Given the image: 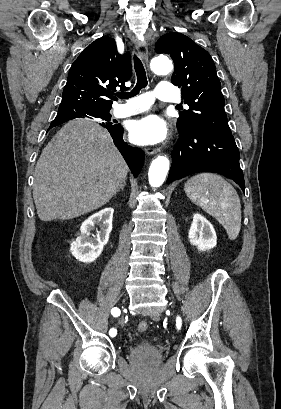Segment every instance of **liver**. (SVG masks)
Segmentation results:
<instances>
[{
    "label": "liver",
    "instance_id": "liver-1",
    "mask_svg": "<svg viewBox=\"0 0 281 409\" xmlns=\"http://www.w3.org/2000/svg\"><path fill=\"white\" fill-rule=\"evenodd\" d=\"M128 170L107 128L88 118L69 120L35 166L33 198L39 219H74L103 207Z\"/></svg>",
    "mask_w": 281,
    "mask_h": 409
}]
</instances>
